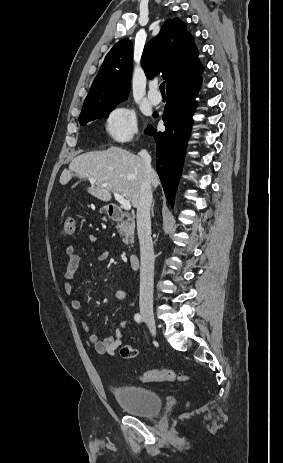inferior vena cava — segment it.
I'll return each instance as SVG.
<instances>
[{"instance_id":"obj_1","label":"inferior vena cava","mask_w":283,"mask_h":463,"mask_svg":"<svg viewBox=\"0 0 283 463\" xmlns=\"http://www.w3.org/2000/svg\"><path fill=\"white\" fill-rule=\"evenodd\" d=\"M139 155L144 162L147 173L151 168V156L146 150H141ZM152 188L149 178H146L140 189L137 205V231L140 243V297L141 311H153V285H154V249L151 238L150 207L152 203Z\"/></svg>"}]
</instances>
